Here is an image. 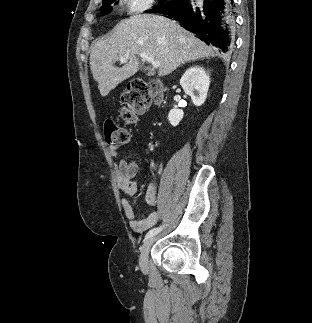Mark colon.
<instances>
[{
  "mask_svg": "<svg viewBox=\"0 0 312 323\" xmlns=\"http://www.w3.org/2000/svg\"><path fill=\"white\" fill-rule=\"evenodd\" d=\"M162 99V84L157 80L134 77L128 81L127 89L120 97L119 115L123 125L106 121L104 138L109 146L120 147L128 143L130 132L128 126L136 120V115L151 104H159Z\"/></svg>",
  "mask_w": 312,
  "mask_h": 323,
  "instance_id": "1",
  "label": "colon"
}]
</instances>
